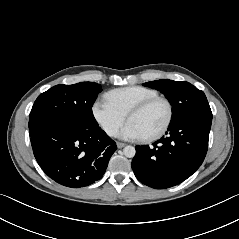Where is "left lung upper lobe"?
I'll return each instance as SVG.
<instances>
[{
  "instance_id": "obj_1",
  "label": "left lung upper lobe",
  "mask_w": 239,
  "mask_h": 239,
  "mask_svg": "<svg viewBox=\"0 0 239 239\" xmlns=\"http://www.w3.org/2000/svg\"><path fill=\"white\" fill-rule=\"evenodd\" d=\"M161 91L170 101L172 108L171 122L197 113H211L203 91L185 81L161 79L143 84Z\"/></svg>"
}]
</instances>
